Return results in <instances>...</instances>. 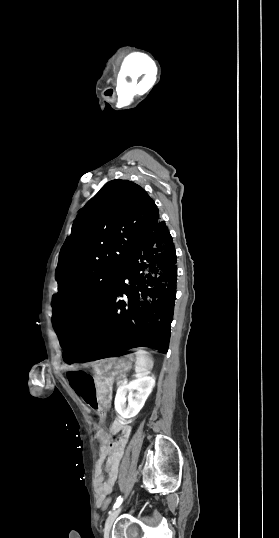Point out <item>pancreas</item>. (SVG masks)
<instances>
[{
	"instance_id": "cf45deb5",
	"label": "pancreas",
	"mask_w": 279,
	"mask_h": 538,
	"mask_svg": "<svg viewBox=\"0 0 279 538\" xmlns=\"http://www.w3.org/2000/svg\"><path fill=\"white\" fill-rule=\"evenodd\" d=\"M115 384H118V381H115Z\"/></svg>"
}]
</instances>
